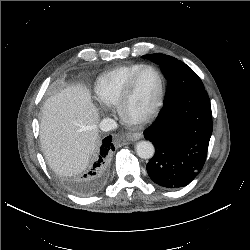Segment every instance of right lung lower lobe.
<instances>
[{
  "label": "right lung lower lobe",
  "mask_w": 250,
  "mask_h": 250,
  "mask_svg": "<svg viewBox=\"0 0 250 250\" xmlns=\"http://www.w3.org/2000/svg\"><path fill=\"white\" fill-rule=\"evenodd\" d=\"M112 136L103 139L100 154L90 171L84 175L79 183L78 190L82 195H92L101 190L108 176V158L111 151H114Z\"/></svg>",
  "instance_id": "obj_1"
}]
</instances>
